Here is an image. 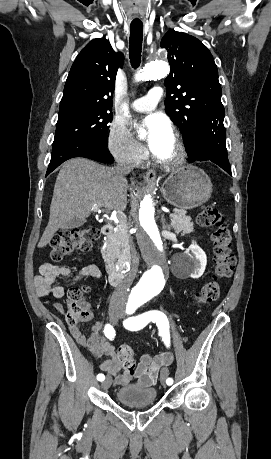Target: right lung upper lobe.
<instances>
[{"instance_id": "cb5924a9", "label": "right lung upper lobe", "mask_w": 271, "mask_h": 459, "mask_svg": "<svg viewBox=\"0 0 271 459\" xmlns=\"http://www.w3.org/2000/svg\"><path fill=\"white\" fill-rule=\"evenodd\" d=\"M124 56L108 40L94 39L79 53L69 72L59 112L111 111L112 94Z\"/></svg>"}]
</instances>
